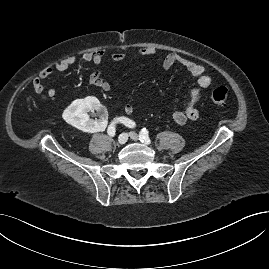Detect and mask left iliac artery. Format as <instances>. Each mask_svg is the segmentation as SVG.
<instances>
[{"instance_id":"1","label":"left iliac artery","mask_w":269,"mask_h":269,"mask_svg":"<svg viewBox=\"0 0 269 269\" xmlns=\"http://www.w3.org/2000/svg\"><path fill=\"white\" fill-rule=\"evenodd\" d=\"M139 140L145 144H150V138L148 136V131L146 128H143L139 133Z\"/></svg>"}]
</instances>
